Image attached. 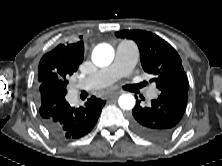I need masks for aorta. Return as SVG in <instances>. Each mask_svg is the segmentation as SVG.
Returning a JSON list of instances; mask_svg holds the SVG:
<instances>
[{"mask_svg":"<svg viewBox=\"0 0 222 166\" xmlns=\"http://www.w3.org/2000/svg\"><path fill=\"white\" fill-rule=\"evenodd\" d=\"M114 59V49L111 45L102 43L97 45L92 52V60L95 65L108 66ZM136 100L131 94H122L118 99L119 106L124 110L134 108Z\"/></svg>","mask_w":222,"mask_h":166,"instance_id":"aorta-1","label":"aorta"}]
</instances>
